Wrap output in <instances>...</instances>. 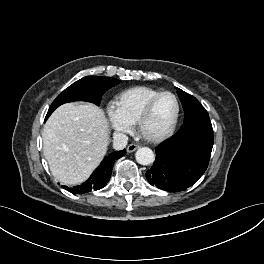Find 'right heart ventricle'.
Here are the masks:
<instances>
[{
    "label": "right heart ventricle",
    "mask_w": 264,
    "mask_h": 264,
    "mask_svg": "<svg viewBox=\"0 0 264 264\" xmlns=\"http://www.w3.org/2000/svg\"><path fill=\"white\" fill-rule=\"evenodd\" d=\"M158 93L159 90L147 86L132 87L115 97L114 107L121 117L134 124L146 103Z\"/></svg>",
    "instance_id": "obj_1"
}]
</instances>
